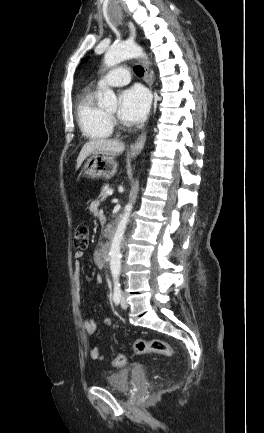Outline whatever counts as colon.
I'll use <instances>...</instances> for the list:
<instances>
[{"mask_svg": "<svg viewBox=\"0 0 264 433\" xmlns=\"http://www.w3.org/2000/svg\"><path fill=\"white\" fill-rule=\"evenodd\" d=\"M89 245V229L84 223L77 226L74 233V246L80 250H85ZM133 349L137 354L155 353L172 358L174 355L172 347L160 339H137L133 344ZM126 357L122 354L115 356L112 364L115 367L125 365Z\"/></svg>", "mask_w": 264, "mask_h": 433, "instance_id": "5ec220e1", "label": "colon"}]
</instances>
